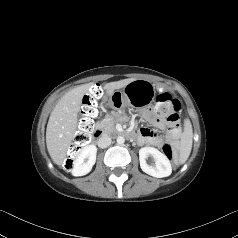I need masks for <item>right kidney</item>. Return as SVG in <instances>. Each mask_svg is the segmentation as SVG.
Returning <instances> with one entry per match:
<instances>
[{"mask_svg":"<svg viewBox=\"0 0 238 238\" xmlns=\"http://www.w3.org/2000/svg\"><path fill=\"white\" fill-rule=\"evenodd\" d=\"M97 148L95 145L84 147L75 159L72 174L74 176H83L88 174L96 162Z\"/></svg>","mask_w":238,"mask_h":238,"instance_id":"1","label":"right kidney"}]
</instances>
